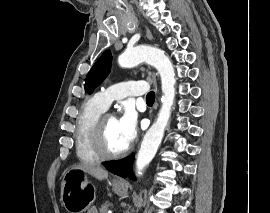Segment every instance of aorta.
<instances>
[{
	"label": "aorta",
	"instance_id": "1",
	"mask_svg": "<svg viewBox=\"0 0 270 213\" xmlns=\"http://www.w3.org/2000/svg\"><path fill=\"white\" fill-rule=\"evenodd\" d=\"M142 62H146L157 69L161 78L163 96L157 119L146 132L137 154L136 168L138 175H141L144 168L152 161L161 144L165 128L171 116L176 84L173 65L160 49L137 46L125 50L118 57L119 65L124 68H130Z\"/></svg>",
	"mask_w": 270,
	"mask_h": 213
}]
</instances>
